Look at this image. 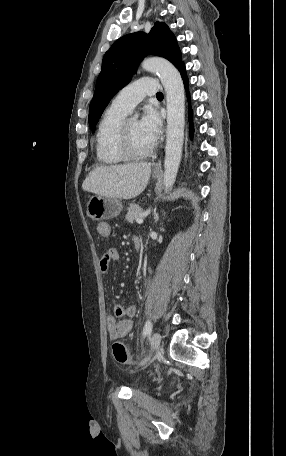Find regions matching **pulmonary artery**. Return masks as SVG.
<instances>
[{"mask_svg":"<svg viewBox=\"0 0 286 456\" xmlns=\"http://www.w3.org/2000/svg\"><path fill=\"white\" fill-rule=\"evenodd\" d=\"M157 93V80L152 77H142L124 87L114 97L111 106L129 113L146 96H152Z\"/></svg>","mask_w":286,"mask_h":456,"instance_id":"e3ab8cb5","label":"pulmonary artery"}]
</instances>
